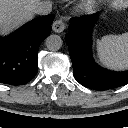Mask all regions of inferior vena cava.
<instances>
[{"label":"inferior vena cava","mask_w":128,"mask_h":128,"mask_svg":"<svg viewBox=\"0 0 128 128\" xmlns=\"http://www.w3.org/2000/svg\"><path fill=\"white\" fill-rule=\"evenodd\" d=\"M51 11H52V4L49 1L39 2L34 9V12L40 15H47Z\"/></svg>","instance_id":"1"}]
</instances>
